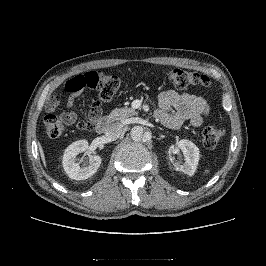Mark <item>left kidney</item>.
I'll return each mask as SVG.
<instances>
[{"label": "left kidney", "mask_w": 266, "mask_h": 266, "mask_svg": "<svg viewBox=\"0 0 266 266\" xmlns=\"http://www.w3.org/2000/svg\"><path fill=\"white\" fill-rule=\"evenodd\" d=\"M176 146L182 150L183 155L185 157V163L180 165L178 163H173L175 170L180 171L189 176L194 175L196 168L198 166V162L200 159V151L199 148L191 141L187 139L180 140ZM175 145H171L168 150L169 158L172 161L171 155L176 150Z\"/></svg>", "instance_id": "5707ae66"}]
</instances>
